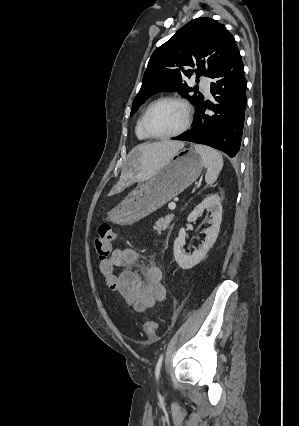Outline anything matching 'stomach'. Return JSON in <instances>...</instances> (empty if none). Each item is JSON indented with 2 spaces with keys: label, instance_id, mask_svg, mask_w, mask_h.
I'll return each instance as SVG.
<instances>
[{
  "label": "stomach",
  "instance_id": "1",
  "mask_svg": "<svg viewBox=\"0 0 299 426\" xmlns=\"http://www.w3.org/2000/svg\"><path fill=\"white\" fill-rule=\"evenodd\" d=\"M203 166L202 157L195 150L178 151L150 181L138 185L108 212L107 219L126 225L148 216L190 186L200 176Z\"/></svg>",
  "mask_w": 299,
  "mask_h": 426
}]
</instances>
